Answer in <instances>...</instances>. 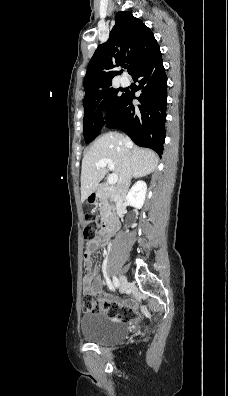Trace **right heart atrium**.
<instances>
[{"instance_id":"d8ad5b80","label":"right heart atrium","mask_w":228,"mask_h":396,"mask_svg":"<svg viewBox=\"0 0 228 396\" xmlns=\"http://www.w3.org/2000/svg\"><path fill=\"white\" fill-rule=\"evenodd\" d=\"M99 117L102 121H106L109 117L108 105H102L98 111Z\"/></svg>"}]
</instances>
